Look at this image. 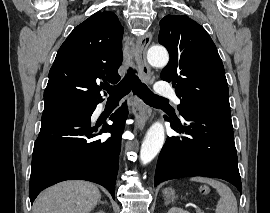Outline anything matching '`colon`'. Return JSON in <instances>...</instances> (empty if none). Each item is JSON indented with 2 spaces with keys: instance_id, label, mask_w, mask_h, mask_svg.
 Instances as JSON below:
<instances>
[{
  "instance_id": "obj_1",
  "label": "colon",
  "mask_w": 270,
  "mask_h": 213,
  "mask_svg": "<svg viewBox=\"0 0 270 213\" xmlns=\"http://www.w3.org/2000/svg\"><path fill=\"white\" fill-rule=\"evenodd\" d=\"M203 191H204V192H206V191H207V189H206V188H204V189H203Z\"/></svg>"
}]
</instances>
